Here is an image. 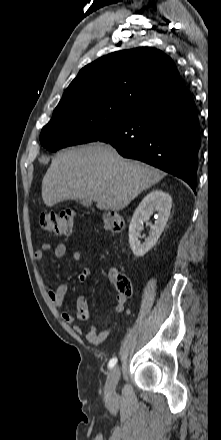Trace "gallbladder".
Listing matches in <instances>:
<instances>
[{
  "label": "gallbladder",
  "instance_id": "1",
  "mask_svg": "<svg viewBox=\"0 0 221 440\" xmlns=\"http://www.w3.org/2000/svg\"><path fill=\"white\" fill-rule=\"evenodd\" d=\"M81 204L84 206H90L92 204V201L91 200H83V201H81Z\"/></svg>",
  "mask_w": 221,
  "mask_h": 440
}]
</instances>
